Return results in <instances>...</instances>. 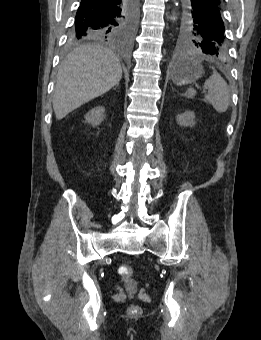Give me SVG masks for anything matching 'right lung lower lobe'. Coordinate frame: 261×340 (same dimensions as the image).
<instances>
[{"instance_id": "98d812e1", "label": "right lung lower lobe", "mask_w": 261, "mask_h": 340, "mask_svg": "<svg viewBox=\"0 0 261 340\" xmlns=\"http://www.w3.org/2000/svg\"><path fill=\"white\" fill-rule=\"evenodd\" d=\"M128 0H81L73 28L90 27L98 19L117 16ZM138 2V0H137Z\"/></svg>"}]
</instances>
